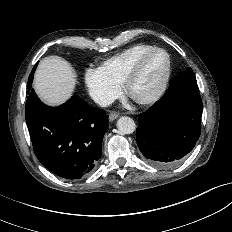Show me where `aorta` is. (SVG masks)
I'll return each instance as SVG.
<instances>
[{
	"instance_id": "1",
	"label": "aorta",
	"mask_w": 232,
	"mask_h": 232,
	"mask_svg": "<svg viewBox=\"0 0 232 232\" xmlns=\"http://www.w3.org/2000/svg\"><path fill=\"white\" fill-rule=\"evenodd\" d=\"M117 128L123 134H131L135 131L136 125L132 118L122 116L117 121Z\"/></svg>"
}]
</instances>
